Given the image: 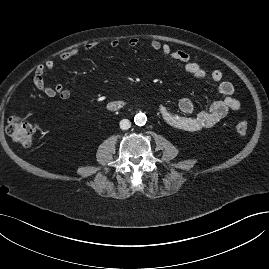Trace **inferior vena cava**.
<instances>
[{
    "instance_id": "602c4592",
    "label": "inferior vena cava",
    "mask_w": 269,
    "mask_h": 269,
    "mask_svg": "<svg viewBox=\"0 0 269 269\" xmlns=\"http://www.w3.org/2000/svg\"><path fill=\"white\" fill-rule=\"evenodd\" d=\"M131 127V122L128 119H123L120 121V128L122 130H127Z\"/></svg>"
}]
</instances>
